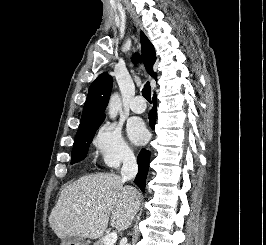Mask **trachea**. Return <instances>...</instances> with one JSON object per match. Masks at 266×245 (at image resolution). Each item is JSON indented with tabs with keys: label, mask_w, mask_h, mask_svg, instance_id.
I'll return each instance as SVG.
<instances>
[{
	"label": "trachea",
	"mask_w": 266,
	"mask_h": 245,
	"mask_svg": "<svg viewBox=\"0 0 266 245\" xmlns=\"http://www.w3.org/2000/svg\"><path fill=\"white\" fill-rule=\"evenodd\" d=\"M143 97L148 101L151 102V87L149 82L146 83L142 90Z\"/></svg>",
	"instance_id": "3493384b"
}]
</instances>
